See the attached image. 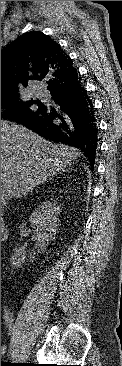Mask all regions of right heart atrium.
I'll return each instance as SVG.
<instances>
[{
    "mask_svg": "<svg viewBox=\"0 0 122 366\" xmlns=\"http://www.w3.org/2000/svg\"><path fill=\"white\" fill-rule=\"evenodd\" d=\"M3 112V107H1V113Z\"/></svg>",
    "mask_w": 122,
    "mask_h": 366,
    "instance_id": "obj_1",
    "label": "right heart atrium"
}]
</instances>
